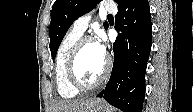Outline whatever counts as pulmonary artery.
Here are the masks:
<instances>
[{
  "instance_id": "pulmonary-artery-1",
  "label": "pulmonary artery",
  "mask_w": 193,
  "mask_h": 112,
  "mask_svg": "<svg viewBox=\"0 0 193 112\" xmlns=\"http://www.w3.org/2000/svg\"><path fill=\"white\" fill-rule=\"evenodd\" d=\"M104 8L110 14L117 12V8L112 2H106ZM91 16V13H87L77 18L72 25V29L79 34H83L88 27Z\"/></svg>"
}]
</instances>
